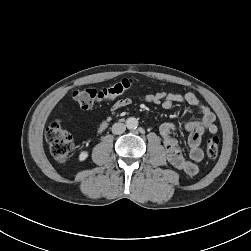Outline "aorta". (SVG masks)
<instances>
[{
  "label": "aorta",
  "mask_w": 251,
  "mask_h": 251,
  "mask_svg": "<svg viewBox=\"0 0 251 251\" xmlns=\"http://www.w3.org/2000/svg\"><path fill=\"white\" fill-rule=\"evenodd\" d=\"M138 126V120L134 117H129L126 120V127L128 129H135Z\"/></svg>",
  "instance_id": "762f6f07"
}]
</instances>
